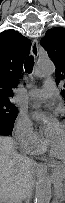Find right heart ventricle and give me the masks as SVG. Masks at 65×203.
<instances>
[{
  "mask_svg": "<svg viewBox=\"0 0 65 203\" xmlns=\"http://www.w3.org/2000/svg\"><path fill=\"white\" fill-rule=\"evenodd\" d=\"M44 151V148L42 147V148H40L39 150H37V151H33L34 153H41V152H43Z\"/></svg>",
  "mask_w": 65,
  "mask_h": 203,
  "instance_id": "e07e8e85",
  "label": "right heart ventricle"
}]
</instances>
